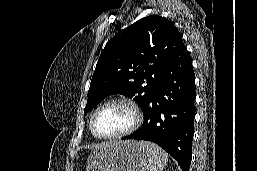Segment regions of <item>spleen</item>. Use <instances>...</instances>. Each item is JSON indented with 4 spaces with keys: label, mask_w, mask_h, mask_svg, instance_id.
I'll use <instances>...</instances> for the list:
<instances>
[{
    "label": "spleen",
    "mask_w": 257,
    "mask_h": 171,
    "mask_svg": "<svg viewBox=\"0 0 257 171\" xmlns=\"http://www.w3.org/2000/svg\"><path fill=\"white\" fill-rule=\"evenodd\" d=\"M140 145L145 149L147 154L148 163L146 171H163L168 162L167 153L151 142L141 141Z\"/></svg>",
    "instance_id": "obj_1"
}]
</instances>
